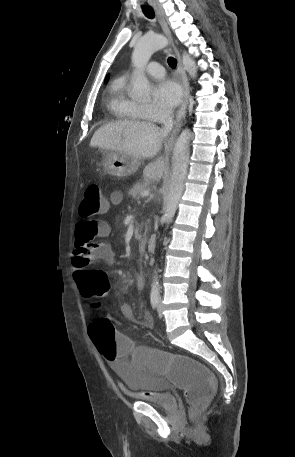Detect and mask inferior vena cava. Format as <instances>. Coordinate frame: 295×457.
Returning <instances> with one entry per match:
<instances>
[{"instance_id": "1", "label": "inferior vena cava", "mask_w": 295, "mask_h": 457, "mask_svg": "<svg viewBox=\"0 0 295 457\" xmlns=\"http://www.w3.org/2000/svg\"><path fill=\"white\" fill-rule=\"evenodd\" d=\"M161 121L164 124V130L169 132L173 128V112L171 109H163L161 113Z\"/></svg>"}]
</instances>
